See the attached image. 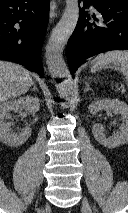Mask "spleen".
<instances>
[{
    "instance_id": "spleen-1",
    "label": "spleen",
    "mask_w": 128,
    "mask_h": 213,
    "mask_svg": "<svg viewBox=\"0 0 128 213\" xmlns=\"http://www.w3.org/2000/svg\"><path fill=\"white\" fill-rule=\"evenodd\" d=\"M105 68H112L120 71L128 82V51H109L98 55L93 60L91 72L95 73Z\"/></svg>"
}]
</instances>
